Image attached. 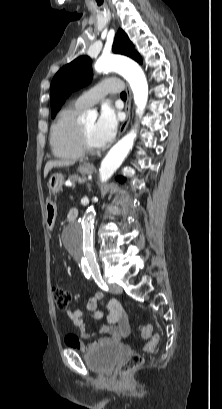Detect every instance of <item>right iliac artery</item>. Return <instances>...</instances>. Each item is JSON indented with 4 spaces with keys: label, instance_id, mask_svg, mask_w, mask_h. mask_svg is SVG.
I'll return each mask as SVG.
<instances>
[{
    "label": "right iliac artery",
    "instance_id": "obj_1",
    "mask_svg": "<svg viewBox=\"0 0 222 409\" xmlns=\"http://www.w3.org/2000/svg\"><path fill=\"white\" fill-rule=\"evenodd\" d=\"M91 274H92L91 271L89 273L85 274L86 278H90Z\"/></svg>",
    "mask_w": 222,
    "mask_h": 409
}]
</instances>
